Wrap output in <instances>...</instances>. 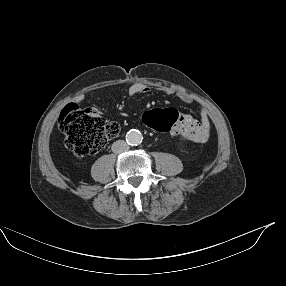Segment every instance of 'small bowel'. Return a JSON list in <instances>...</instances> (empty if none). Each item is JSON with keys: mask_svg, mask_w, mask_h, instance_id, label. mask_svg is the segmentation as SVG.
Listing matches in <instances>:
<instances>
[{"mask_svg": "<svg viewBox=\"0 0 286 286\" xmlns=\"http://www.w3.org/2000/svg\"><path fill=\"white\" fill-rule=\"evenodd\" d=\"M150 88L141 82L133 83L128 89V96L134 98L140 94H146ZM178 96L185 102H191V96L187 93H179ZM175 110V109H174ZM179 120L170 128L173 136H183L193 143H204L210 135L211 122L205 110L200 111L199 121L190 115L179 113Z\"/></svg>", "mask_w": 286, "mask_h": 286, "instance_id": "1", "label": "small bowel"}]
</instances>
